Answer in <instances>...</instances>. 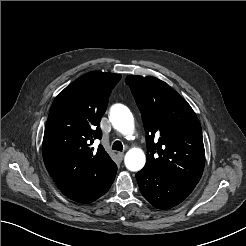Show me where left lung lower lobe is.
<instances>
[{
	"mask_svg": "<svg viewBox=\"0 0 246 246\" xmlns=\"http://www.w3.org/2000/svg\"><path fill=\"white\" fill-rule=\"evenodd\" d=\"M136 179L142 195L158 209H169L181 203L196 184L141 170Z\"/></svg>",
	"mask_w": 246,
	"mask_h": 246,
	"instance_id": "left-lung-lower-lobe-1",
	"label": "left lung lower lobe"
}]
</instances>
